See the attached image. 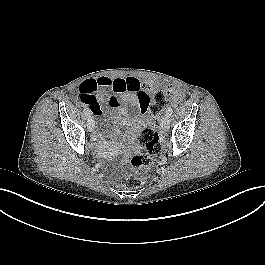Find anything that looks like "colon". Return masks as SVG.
I'll return each mask as SVG.
<instances>
[{"mask_svg":"<svg viewBox=\"0 0 265 265\" xmlns=\"http://www.w3.org/2000/svg\"><path fill=\"white\" fill-rule=\"evenodd\" d=\"M179 95V91L174 87L157 90L151 100L150 109L154 112H159L168 105L171 98H176ZM138 144L146 153L136 154L131 158L129 172L119 178L121 187L130 189L140 187L144 183L146 172L152 164L151 154L156 153L160 149L159 136L150 128H145L141 131L138 137Z\"/></svg>","mask_w":265,"mask_h":265,"instance_id":"1","label":"colon"}]
</instances>
